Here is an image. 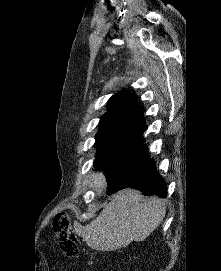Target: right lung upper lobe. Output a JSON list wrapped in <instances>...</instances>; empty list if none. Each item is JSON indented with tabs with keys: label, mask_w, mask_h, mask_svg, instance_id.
Here are the masks:
<instances>
[{
	"label": "right lung upper lobe",
	"mask_w": 221,
	"mask_h": 271,
	"mask_svg": "<svg viewBox=\"0 0 221 271\" xmlns=\"http://www.w3.org/2000/svg\"><path fill=\"white\" fill-rule=\"evenodd\" d=\"M135 94L129 92L112 96L108 101V111L99 124L102 130H135L144 131L143 108L137 105Z\"/></svg>",
	"instance_id": "right-lung-upper-lobe-1"
}]
</instances>
